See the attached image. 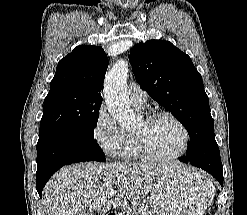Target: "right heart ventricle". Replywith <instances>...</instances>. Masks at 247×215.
Here are the masks:
<instances>
[{"label":"right heart ventricle","instance_id":"right-heart-ventricle-1","mask_svg":"<svg viewBox=\"0 0 247 215\" xmlns=\"http://www.w3.org/2000/svg\"><path fill=\"white\" fill-rule=\"evenodd\" d=\"M120 157L125 160H140L145 158L138 147L133 132L124 131V143L121 148Z\"/></svg>","mask_w":247,"mask_h":215}]
</instances>
